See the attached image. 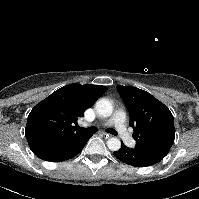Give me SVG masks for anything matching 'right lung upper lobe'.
Wrapping results in <instances>:
<instances>
[{"mask_svg":"<svg viewBox=\"0 0 199 199\" xmlns=\"http://www.w3.org/2000/svg\"><path fill=\"white\" fill-rule=\"evenodd\" d=\"M107 91L101 85H66L38 103L30 112L25 136L29 147L51 146L83 133L76 129L84 111Z\"/></svg>","mask_w":199,"mask_h":199,"instance_id":"cb5924a9","label":"right lung upper lobe"}]
</instances>
